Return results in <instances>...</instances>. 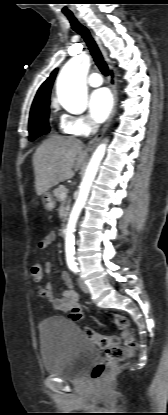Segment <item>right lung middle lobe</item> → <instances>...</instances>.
Wrapping results in <instances>:
<instances>
[{
    "instance_id": "dd1d6c3e",
    "label": "right lung middle lobe",
    "mask_w": 168,
    "mask_h": 415,
    "mask_svg": "<svg viewBox=\"0 0 168 415\" xmlns=\"http://www.w3.org/2000/svg\"><path fill=\"white\" fill-rule=\"evenodd\" d=\"M49 105L38 108L30 112L29 118V138L33 141L37 137L50 131L48 125Z\"/></svg>"
}]
</instances>
